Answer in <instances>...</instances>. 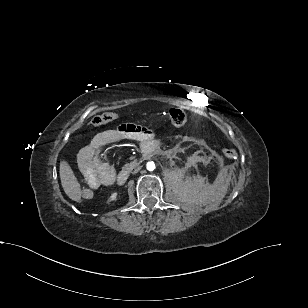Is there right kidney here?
<instances>
[{"label": "right kidney", "mask_w": 308, "mask_h": 308, "mask_svg": "<svg viewBox=\"0 0 308 308\" xmlns=\"http://www.w3.org/2000/svg\"><path fill=\"white\" fill-rule=\"evenodd\" d=\"M117 198V192H113L109 198L110 201H114Z\"/></svg>", "instance_id": "right-kidney-1"}]
</instances>
